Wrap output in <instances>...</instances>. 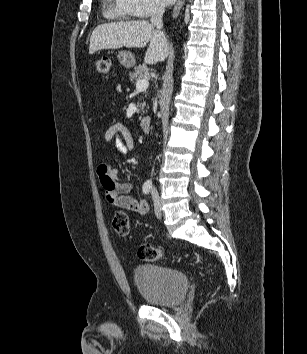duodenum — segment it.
<instances>
[{"instance_id": "410a0bca", "label": "duodenum", "mask_w": 307, "mask_h": 354, "mask_svg": "<svg viewBox=\"0 0 307 354\" xmlns=\"http://www.w3.org/2000/svg\"><path fill=\"white\" fill-rule=\"evenodd\" d=\"M151 124H152V120L151 117L149 116H144L140 119V127L146 133L150 132Z\"/></svg>"}]
</instances>
